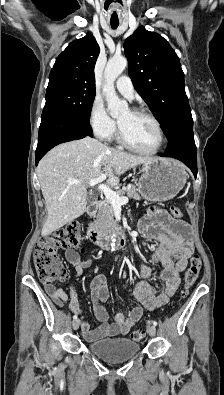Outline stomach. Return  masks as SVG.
<instances>
[{
  "label": "stomach",
  "instance_id": "stomach-1",
  "mask_svg": "<svg viewBox=\"0 0 224 395\" xmlns=\"http://www.w3.org/2000/svg\"><path fill=\"white\" fill-rule=\"evenodd\" d=\"M138 192L148 201H167L174 198L186 183L184 167L173 159L153 158L142 163Z\"/></svg>",
  "mask_w": 224,
  "mask_h": 395
}]
</instances>
